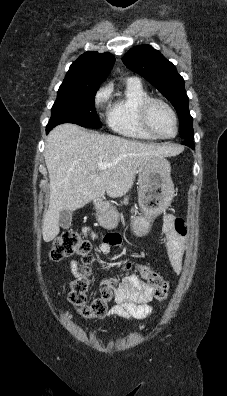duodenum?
I'll use <instances>...</instances> for the list:
<instances>
[{"label":"duodenum","mask_w":227,"mask_h":396,"mask_svg":"<svg viewBox=\"0 0 227 396\" xmlns=\"http://www.w3.org/2000/svg\"><path fill=\"white\" fill-rule=\"evenodd\" d=\"M94 203H95V205H96L98 208H104V207L106 206V203H105L101 198H96V199L94 200Z\"/></svg>","instance_id":"obj_1"}]
</instances>
